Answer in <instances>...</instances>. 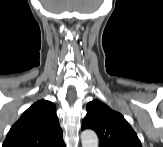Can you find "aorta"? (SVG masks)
Instances as JSON below:
<instances>
[{
	"mask_svg": "<svg viewBox=\"0 0 163 147\" xmlns=\"http://www.w3.org/2000/svg\"><path fill=\"white\" fill-rule=\"evenodd\" d=\"M82 147H98V137L92 130H84L81 133Z\"/></svg>",
	"mask_w": 163,
	"mask_h": 147,
	"instance_id": "aorta-1",
	"label": "aorta"
}]
</instances>
